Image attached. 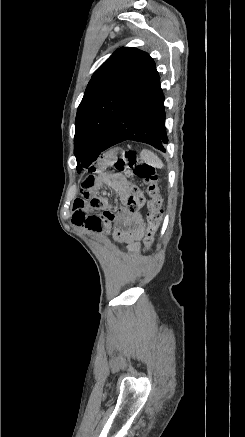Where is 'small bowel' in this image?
<instances>
[{
  "instance_id": "1",
  "label": "small bowel",
  "mask_w": 245,
  "mask_h": 437,
  "mask_svg": "<svg viewBox=\"0 0 245 437\" xmlns=\"http://www.w3.org/2000/svg\"><path fill=\"white\" fill-rule=\"evenodd\" d=\"M100 155L97 166H90L89 171H86V178L82 182L84 198H78L74 201L73 222L82 229L95 233L101 232L103 229L111 231L114 240L125 244L128 253L133 258H137L140 251V241L145 232V220L141 211H129L121 206L116 215L108 210H105L102 215L88 213L86 199L94 209L103 206L102 198L93 195L97 188L95 186L96 180H99L105 171H109L115 161L113 150H102ZM107 183L122 201L128 196L129 186L122 176H112L107 179Z\"/></svg>"
}]
</instances>
